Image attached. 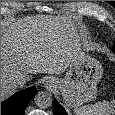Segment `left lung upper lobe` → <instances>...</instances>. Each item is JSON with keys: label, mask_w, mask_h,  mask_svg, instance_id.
Returning <instances> with one entry per match:
<instances>
[{"label": "left lung upper lobe", "mask_w": 115, "mask_h": 115, "mask_svg": "<svg viewBox=\"0 0 115 115\" xmlns=\"http://www.w3.org/2000/svg\"><path fill=\"white\" fill-rule=\"evenodd\" d=\"M112 51L115 53V43H114V46L112 48Z\"/></svg>", "instance_id": "1"}]
</instances>
